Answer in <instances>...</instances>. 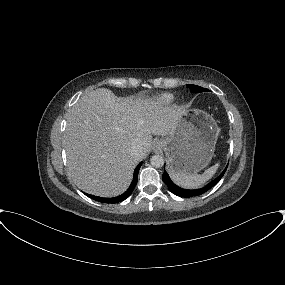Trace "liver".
Segmentation results:
<instances>
[{"instance_id": "1", "label": "liver", "mask_w": 285, "mask_h": 285, "mask_svg": "<svg viewBox=\"0 0 285 285\" xmlns=\"http://www.w3.org/2000/svg\"><path fill=\"white\" fill-rule=\"evenodd\" d=\"M185 112L183 106L153 99L118 98L105 88L84 95L67 115L68 175L89 194H122L136 164L150 152L152 135H170ZM134 142L142 147L138 157L130 152Z\"/></svg>"}]
</instances>
